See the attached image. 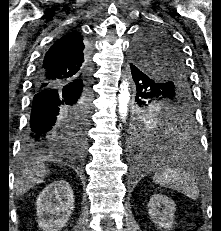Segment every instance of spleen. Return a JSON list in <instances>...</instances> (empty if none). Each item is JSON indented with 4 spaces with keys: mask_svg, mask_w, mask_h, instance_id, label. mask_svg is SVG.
Listing matches in <instances>:
<instances>
[{
    "mask_svg": "<svg viewBox=\"0 0 221 231\" xmlns=\"http://www.w3.org/2000/svg\"><path fill=\"white\" fill-rule=\"evenodd\" d=\"M153 181L163 187L178 191L193 200L199 197L198 185L194 178L180 168L166 166L155 173Z\"/></svg>",
    "mask_w": 221,
    "mask_h": 231,
    "instance_id": "spleen-1",
    "label": "spleen"
}]
</instances>
